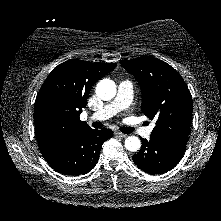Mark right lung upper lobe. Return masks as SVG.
Listing matches in <instances>:
<instances>
[{"mask_svg":"<svg viewBox=\"0 0 221 221\" xmlns=\"http://www.w3.org/2000/svg\"><path fill=\"white\" fill-rule=\"evenodd\" d=\"M116 67L72 59L55 67L41 86L34 104V123L44 159L54 156L74 137L90 129L79 116L93 84Z\"/></svg>","mask_w":221,"mask_h":221,"instance_id":"1","label":"right lung upper lobe"}]
</instances>
